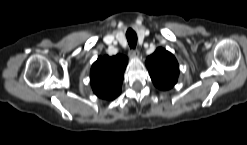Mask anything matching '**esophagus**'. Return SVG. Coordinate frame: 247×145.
<instances>
[{
  "instance_id": "esophagus-1",
  "label": "esophagus",
  "mask_w": 247,
  "mask_h": 145,
  "mask_svg": "<svg viewBox=\"0 0 247 145\" xmlns=\"http://www.w3.org/2000/svg\"><path fill=\"white\" fill-rule=\"evenodd\" d=\"M129 56H131V57H137V56H139V50H137V49H130L129 50Z\"/></svg>"
}]
</instances>
